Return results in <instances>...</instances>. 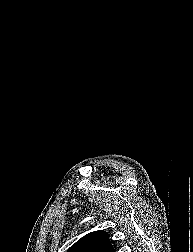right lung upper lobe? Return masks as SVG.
I'll list each match as a JSON object with an SVG mask.
<instances>
[{
	"mask_svg": "<svg viewBox=\"0 0 193 252\" xmlns=\"http://www.w3.org/2000/svg\"><path fill=\"white\" fill-rule=\"evenodd\" d=\"M104 231L88 233L76 242L67 252H114Z\"/></svg>",
	"mask_w": 193,
	"mask_h": 252,
	"instance_id": "obj_1",
	"label": "right lung upper lobe"
}]
</instances>
